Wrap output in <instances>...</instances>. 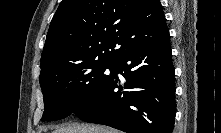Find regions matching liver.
Masks as SVG:
<instances>
[{"label":"liver","mask_w":221,"mask_h":133,"mask_svg":"<svg viewBox=\"0 0 221 133\" xmlns=\"http://www.w3.org/2000/svg\"><path fill=\"white\" fill-rule=\"evenodd\" d=\"M53 133H119L117 130L99 125H84L79 123H69L57 127Z\"/></svg>","instance_id":"liver-1"}]
</instances>
